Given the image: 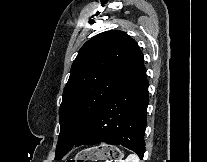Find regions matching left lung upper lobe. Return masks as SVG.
Wrapping results in <instances>:
<instances>
[{
	"mask_svg": "<svg viewBox=\"0 0 207 162\" xmlns=\"http://www.w3.org/2000/svg\"><path fill=\"white\" fill-rule=\"evenodd\" d=\"M142 63L137 43L119 30L98 34L82 46L59 108L61 131L55 160L72 148L100 106Z\"/></svg>",
	"mask_w": 207,
	"mask_h": 162,
	"instance_id": "1",
	"label": "left lung upper lobe"
}]
</instances>
